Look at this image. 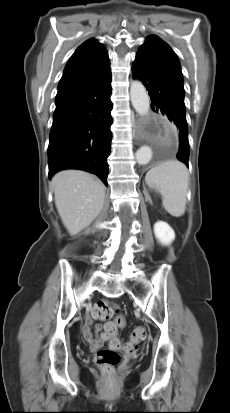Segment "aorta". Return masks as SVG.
<instances>
[{
  "instance_id": "obj_1",
  "label": "aorta",
  "mask_w": 230,
  "mask_h": 413,
  "mask_svg": "<svg viewBox=\"0 0 230 413\" xmlns=\"http://www.w3.org/2000/svg\"><path fill=\"white\" fill-rule=\"evenodd\" d=\"M130 97L133 108L140 116L148 114L150 98L145 86L138 80H133L130 86ZM136 161L140 165L147 164L152 158V150L149 146H142L135 154Z\"/></svg>"
}]
</instances>
